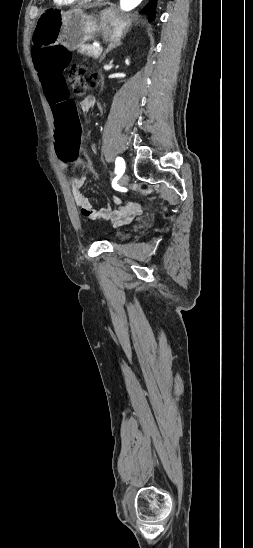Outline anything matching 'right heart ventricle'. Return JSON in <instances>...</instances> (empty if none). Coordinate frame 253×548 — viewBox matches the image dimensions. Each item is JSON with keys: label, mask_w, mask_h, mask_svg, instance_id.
Segmentation results:
<instances>
[{"label": "right heart ventricle", "mask_w": 253, "mask_h": 548, "mask_svg": "<svg viewBox=\"0 0 253 548\" xmlns=\"http://www.w3.org/2000/svg\"><path fill=\"white\" fill-rule=\"evenodd\" d=\"M56 5H71L77 0H53Z\"/></svg>", "instance_id": "e07e8e85"}]
</instances>
